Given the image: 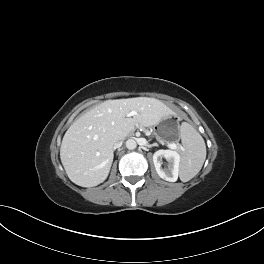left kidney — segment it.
Masks as SVG:
<instances>
[{
    "label": "left kidney",
    "mask_w": 264,
    "mask_h": 264,
    "mask_svg": "<svg viewBox=\"0 0 264 264\" xmlns=\"http://www.w3.org/2000/svg\"><path fill=\"white\" fill-rule=\"evenodd\" d=\"M165 158L168 161V168H162L161 160ZM153 162L158 175L169 182H175L179 175L180 155L174 150L156 151L153 155Z\"/></svg>",
    "instance_id": "obj_1"
}]
</instances>
